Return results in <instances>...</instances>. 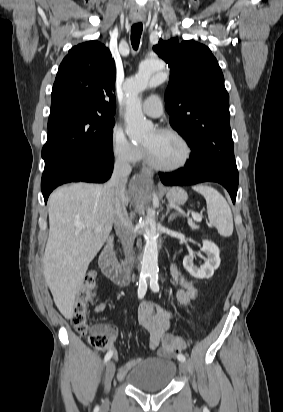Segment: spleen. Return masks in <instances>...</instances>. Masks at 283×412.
Here are the masks:
<instances>
[{
    "mask_svg": "<svg viewBox=\"0 0 283 412\" xmlns=\"http://www.w3.org/2000/svg\"><path fill=\"white\" fill-rule=\"evenodd\" d=\"M193 189L202 194L206 200L209 222L216 227L221 236H231L233 216L225 198L212 187L197 185Z\"/></svg>",
    "mask_w": 283,
    "mask_h": 412,
    "instance_id": "3e777b00",
    "label": "spleen"
}]
</instances>
